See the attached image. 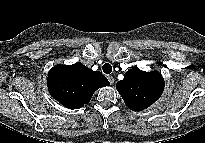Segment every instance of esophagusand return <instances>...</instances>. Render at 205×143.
<instances>
[{"label": "esophagus", "mask_w": 205, "mask_h": 143, "mask_svg": "<svg viewBox=\"0 0 205 143\" xmlns=\"http://www.w3.org/2000/svg\"><path fill=\"white\" fill-rule=\"evenodd\" d=\"M107 78H108V80H109V82H110L111 84L114 83V78H113V76H110V75H109Z\"/></svg>", "instance_id": "34e87169"}]
</instances>
